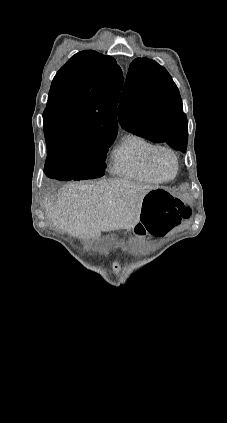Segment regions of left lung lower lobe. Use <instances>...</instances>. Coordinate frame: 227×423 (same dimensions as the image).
<instances>
[{"label":"left lung lower lobe","mask_w":227,"mask_h":423,"mask_svg":"<svg viewBox=\"0 0 227 423\" xmlns=\"http://www.w3.org/2000/svg\"><path fill=\"white\" fill-rule=\"evenodd\" d=\"M186 145H182V146H180V147H177V148H174V149H176V150H180V151H182V152H185L186 151Z\"/></svg>","instance_id":"0a47b994"}]
</instances>
